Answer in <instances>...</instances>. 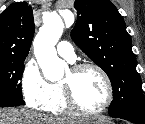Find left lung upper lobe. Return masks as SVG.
Instances as JSON below:
<instances>
[{
	"label": "left lung upper lobe",
	"mask_w": 145,
	"mask_h": 124,
	"mask_svg": "<svg viewBox=\"0 0 145 124\" xmlns=\"http://www.w3.org/2000/svg\"><path fill=\"white\" fill-rule=\"evenodd\" d=\"M77 22L71 31L75 44L112 83L109 114L145 116V97L136 71V57L123 17L110 0H75Z\"/></svg>",
	"instance_id": "obj_1"
}]
</instances>
